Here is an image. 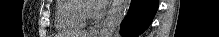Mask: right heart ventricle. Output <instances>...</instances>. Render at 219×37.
<instances>
[{
	"label": "right heart ventricle",
	"instance_id": "obj_1",
	"mask_svg": "<svg viewBox=\"0 0 219 37\" xmlns=\"http://www.w3.org/2000/svg\"><path fill=\"white\" fill-rule=\"evenodd\" d=\"M85 1L60 0L57 5V26L63 30L79 29L85 25Z\"/></svg>",
	"mask_w": 219,
	"mask_h": 37
}]
</instances>
